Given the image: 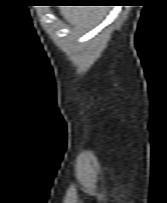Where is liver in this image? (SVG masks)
I'll use <instances>...</instances> for the list:
<instances>
[{"mask_svg": "<svg viewBox=\"0 0 167 203\" xmlns=\"http://www.w3.org/2000/svg\"><path fill=\"white\" fill-rule=\"evenodd\" d=\"M62 16L72 25L81 27L101 20L102 9L95 6H65L60 9Z\"/></svg>", "mask_w": 167, "mask_h": 203, "instance_id": "obj_1", "label": "liver"}]
</instances>
